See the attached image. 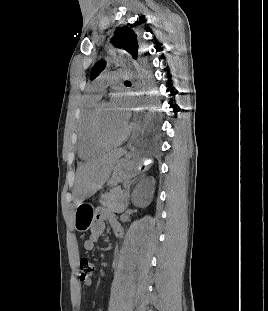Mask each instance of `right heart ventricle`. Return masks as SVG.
<instances>
[{"instance_id": "right-heart-ventricle-1", "label": "right heart ventricle", "mask_w": 268, "mask_h": 311, "mask_svg": "<svg viewBox=\"0 0 268 311\" xmlns=\"http://www.w3.org/2000/svg\"><path fill=\"white\" fill-rule=\"evenodd\" d=\"M100 97L96 95L87 96L81 107V111L78 116V141L77 149L79 156L88 160L98 156L104 151V148L97 146L90 134V121L92 114L98 105Z\"/></svg>"}]
</instances>
